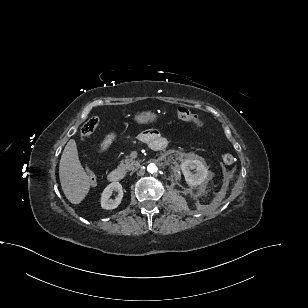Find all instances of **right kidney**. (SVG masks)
<instances>
[{"mask_svg": "<svg viewBox=\"0 0 308 308\" xmlns=\"http://www.w3.org/2000/svg\"><path fill=\"white\" fill-rule=\"evenodd\" d=\"M113 191L118 192L115 199H110ZM123 198L122 185L119 182L110 183L101 194V207L106 210H112L119 206Z\"/></svg>", "mask_w": 308, "mask_h": 308, "instance_id": "1", "label": "right kidney"}]
</instances>
